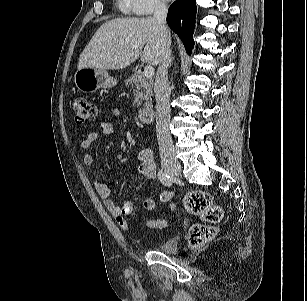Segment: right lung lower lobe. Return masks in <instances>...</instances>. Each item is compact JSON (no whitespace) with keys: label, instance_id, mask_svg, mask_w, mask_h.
Instances as JSON below:
<instances>
[{"label":"right lung lower lobe","instance_id":"1","mask_svg":"<svg viewBox=\"0 0 307 301\" xmlns=\"http://www.w3.org/2000/svg\"><path fill=\"white\" fill-rule=\"evenodd\" d=\"M195 0H177L168 10L167 23L180 37L186 51L190 54L194 46L193 32L195 28Z\"/></svg>","mask_w":307,"mask_h":301}]
</instances>
